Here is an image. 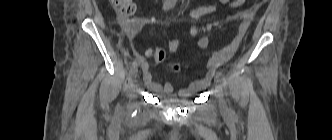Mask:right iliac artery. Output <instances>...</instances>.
<instances>
[{"instance_id": "right-iliac-artery-1", "label": "right iliac artery", "mask_w": 332, "mask_h": 140, "mask_svg": "<svg viewBox=\"0 0 332 140\" xmlns=\"http://www.w3.org/2000/svg\"><path fill=\"white\" fill-rule=\"evenodd\" d=\"M176 2L177 0H166L164 2L163 9L165 11L171 9L176 4ZM142 60H143L142 56H137L136 59L133 61L132 66L138 65Z\"/></svg>"}]
</instances>
